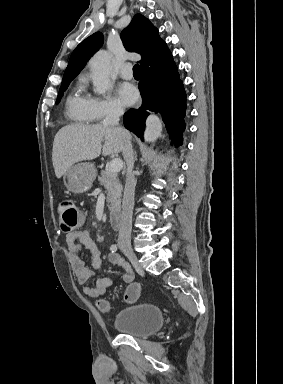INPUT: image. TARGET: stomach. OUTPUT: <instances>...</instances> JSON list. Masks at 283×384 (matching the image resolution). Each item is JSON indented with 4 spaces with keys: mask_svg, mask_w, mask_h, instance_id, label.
Wrapping results in <instances>:
<instances>
[{
    "mask_svg": "<svg viewBox=\"0 0 283 384\" xmlns=\"http://www.w3.org/2000/svg\"><path fill=\"white\" fill-rule=\"evenodd\" d=\"M96 178V170L91 162H81L66 170L63 174L64 186L73 194H83L90 190Z\"/></svg>",
    "mask_w": 283,
    "mask_h": 384,
    "instance_id": "0dacf381",
    "label": "stomach"
}]
</instances>
